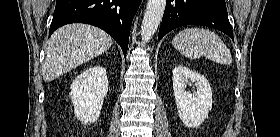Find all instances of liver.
I'll return each instance as SVG.
<instances>
[{
    "instance_id": "liver-1",
    "label": "liver",
    "mask_w": 280,
    "mask_h": 137,
    "mask_svg": "<svg viewBox=\"0 0 280 137\" xmlns=\"http://www.w3.org/2000/svg\"><path fill=\"white\" fill-rule=\"evenodd\" d=\"M113 39L103 30L86 24H70L49 39L43 78L50 82L108 50Z\"/></svg>"
}]
</instances>
